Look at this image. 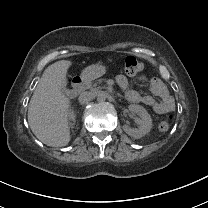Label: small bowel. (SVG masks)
Here are the masks:
<instances>
[{
    "label": "small bowel",
    "mask_w": 208,
    "mask_h": 208,
    "mask_svg": "<svg viewBox=\"0 0 208 208\" xmlns=\"http://www.w3.org/2000/svg\"><path fill=\"white\" fill-rule=\"evenodd\" d=\"M116 82L124 90L126 99L132 103H142L149 106L158 115L167 114L174 110V100L166 85L159 78L149 80L145 75H140L135 80L137 85L148 82V89L152 95H141L137 90L131 88L125 75H118ZM154 96L159 100H156Z\"/></svg>",
    "instance_id": "c3829d8e"
}]
</instances>
